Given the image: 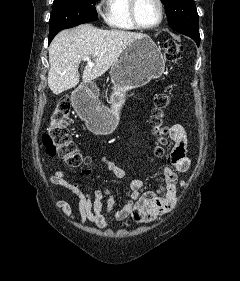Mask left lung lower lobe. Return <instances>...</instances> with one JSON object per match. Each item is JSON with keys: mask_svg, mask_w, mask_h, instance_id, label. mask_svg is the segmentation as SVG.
Wrapping results in <instances>:
<instances>
[{"mask_svg": "<svg viewBox=\"0 0 240 281\" xmlns=\"http://www.w3.org/2000/svg\"><path fill=\"white\" fill-rule=\"evenodd\" d=\"M187 36L191 37L197 43V45L199 46V43H200V35H199V33H197V34H188Z\"/></svg>", "mask_w": 240, "mask_h": 281, "instance_id": "left-lung-lower-lobe-1", "label": "left lung lower lobe"}]
</instances>
